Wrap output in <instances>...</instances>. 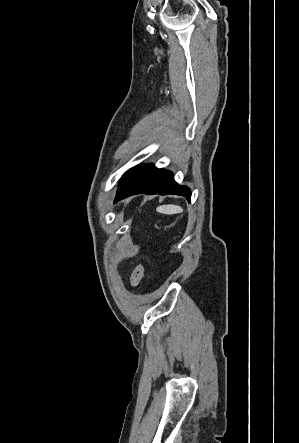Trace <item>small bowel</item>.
Wrapping results in <instances>:
<instances>
[{
    "mask_svg": "<svg viewBox=\"0 0 299 443\" xmlns=\"http://www.w3.org/2000/svg\"><path fill=\"white\" fill-rule=\"evenodd\" d=\"M145 266L143 264H139L134 268L130 275V284L132 287H138L145 276Z\"/></svg>",
    "mask_w": 299,
    "mask_h": 443,
    "instance_id": "c3829d8e",
    "label": "small bowel"
}]
</instances>
